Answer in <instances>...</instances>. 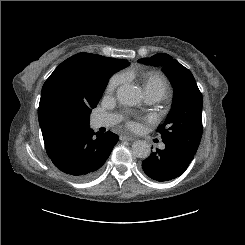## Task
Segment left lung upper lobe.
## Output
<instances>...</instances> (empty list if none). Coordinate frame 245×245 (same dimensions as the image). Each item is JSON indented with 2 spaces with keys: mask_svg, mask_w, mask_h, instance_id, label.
I'll return each instance as SVG.
<instances>
[{
  "mask_svg": "<svg viewBox=\"0 0 245 245\" xmlns=\"http://www.w3.org/2000/svg\"><path fill=\"white\" fill-rule=\"evenodd\" d=\"M150 65H162L174 86V102L165 122L157 132L162 141L178 143L196 153L202 136V94L191 72L165 53L138 60Z\"/></svg>",
  "mask_w": 245,
  "mask_h": 245,
  "instance_id": "5c2ea615",
  "label": "left lung upper lobe"
}]
</instances>
